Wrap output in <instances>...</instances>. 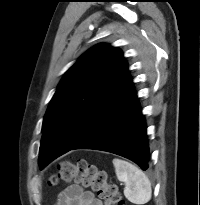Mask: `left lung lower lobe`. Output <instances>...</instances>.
I'll return each mask as SVG.
<instances>
[{"label":"left lung lower lobe","instance_id":"obj_1","mask_svg":"<svg viewBox=\"0 0 200 205\" xmlns=\"http://www.w3.org/2000/svg\"><path fill=\"white\" fill-rule=\"evenodd\" d=\"M73 149L107 151L132 160L144 171L149 168L146 123L129 74L108 108Z\"/></svg>","mask_w":200,"mask_h":205}]
</instances>
